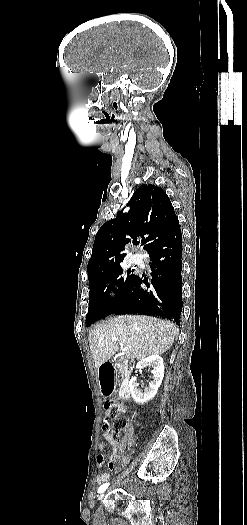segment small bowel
<instances>
[{
  "label": "small bowel",
  "mask_w": 247,
  "mask_h": 525,
  "mask_svg": "<svg viewBox=\"0 0 247 525\" xmlns=\"http://www.w3.org/2000/svg\"><path fill=\"white\" fill-rule=\"evenodd\" d=\"M106 405V403H105ZM102 437L104 440H106L113 448V453L112 455L110 456V459H109V466H110V469H113L117 459H118V443L117 441L115 440L114 436L109 433V432H103L102 433ZM100 448V453L97 455L96 457V462L98 464V466H102L105 462V454H104V445L103 444H100L99 446ZM110 477V471L109 470H106V471H103L101 473H99L97 476H96V482L97 484H102L104 482H106Z\"/></svg>",
  "instance_id": "c3829d8e"
}]
</instances>
